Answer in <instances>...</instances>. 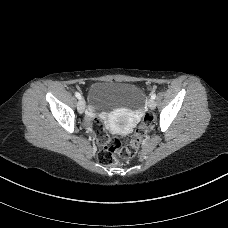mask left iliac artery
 <instances>
[{
  "mask_svg": "<svg viewBox=\"0 0 228 228\" xmlns=\"http://www.w3.org/2000/svg\"><path fill=\"white\" fill-rule=\"evenodd\" d=\"M155 98H156V94L153 93V94L151 95V99H155Z\"/></svg>",
  "mask_w": 228,
  "mask_h": 228,
  "instance_id": "obj_1",
  "label": "left iliac artery"
}]
</instances>
